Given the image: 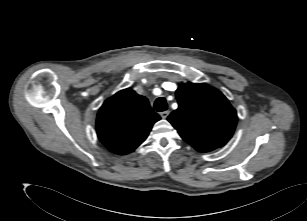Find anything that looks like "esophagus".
Wrapping results in <instances>:
<instances>
[{"label":"esophagus","mask_w":307,"mask_h":221,"mask_svg":"<svg viewBox=\"0 0 307 221\" xmlns=\"http://www.w3.org/2000/svg\"><path fill=\"white\" fill-rule=\"evenodd\" d=\"M169 113H170L169 110H165V111L161 112L160 115L163 119H166L168 117Z\"/></svg>","instance_id":"1"}]
</instances>
